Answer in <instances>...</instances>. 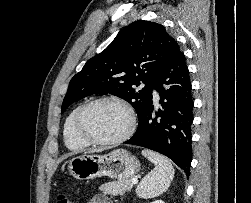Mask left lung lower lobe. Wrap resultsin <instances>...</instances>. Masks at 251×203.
<instances>
[{
	"label": "left lung lower lobe",
	"mask_w": 251,
	"mask_h": 203,
	"mask_svg": "<svg viewBox=\"0 0 251 203\" xmlns=\"http://www.w3.org/2000/svg\"><path fill=\"white\" fill-rule=\"evenodd\" d=\"M152 89L158 92L161 106L154 115L151 95L139 117L137 131L125 143L169 157L189 176L194 102L185 56L176 41L158 71Z\"/></svg>",
	"instance_id": "0a47b994"
}]
</instances>
